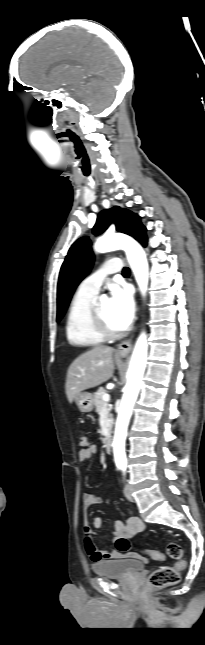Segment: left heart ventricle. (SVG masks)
Wrapping results in <instances>:
<instances>
[{"label":"left heart ventricle","mask_w":205,"mask_h":645,"mask_svg":"<svg viewBox=\"0 0 205 645\" xmlns=\"http://www.w3.org/2000/svg\"><path fill=\"white\" fill-rule=\"evenodd\" d=\"M99 309L107 324L114 330H120V328L117 326L114 320L109 301L100 302Z\"/></svg>","instance_id":"left-heart-ventricle-1"}]
</instances>
